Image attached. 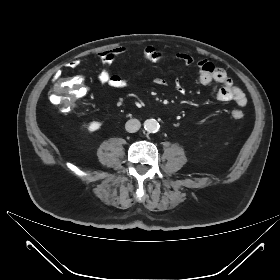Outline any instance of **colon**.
<instances>
[{"label":"colon","mask_w":280,"mask_h":280,"mask_svg":"<svg viewBox=\"0 0 280 280\" xmlns=\"http://www.w3.org/2000/svg\"><path fill=\"white\" fill-rule=\"evenodd\" d=\"M88 93L89 88L83 83L81 77L60 76L56 80L55 87L49 95V100L53 104H58L63 112L70 113L74 110L78 97L84 98ZM235 117L240 119L242 118V114L236 113Z\"/></svg>","instance_id":"1"}]
</instances>
